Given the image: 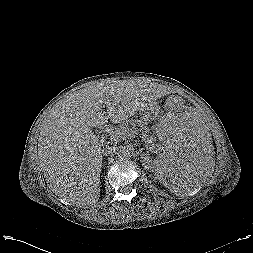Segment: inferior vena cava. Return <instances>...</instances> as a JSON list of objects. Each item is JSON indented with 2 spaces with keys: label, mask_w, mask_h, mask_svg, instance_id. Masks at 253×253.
I'll use <instances>...</instances> for the list:
<instances>
[{
  "label": "inferior vena cava",
  "mask_w": 253,
  "mask_h": 253,
  "mask_svg": "<svg viewBox=\"0 0 253 253\" xmlns=\"http://www.w3.org/2000/svg\"><path fill=\"white\" fill-rule=\"evenodd\" d=\"M116 146V143L108 142L103 146L102 153L104 155H112L117 152L118 147Z\"/></svg>",
  "instance_id": "1"
}]
</instances>
